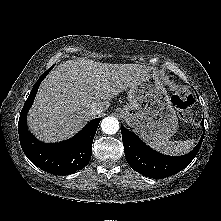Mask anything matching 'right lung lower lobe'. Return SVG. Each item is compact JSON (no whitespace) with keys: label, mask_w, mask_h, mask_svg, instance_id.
<instances>
[{"label":"right lung lower lobe","mask_w":221,"mask_h":221,"mask_svg":"<svg viewBox=\"0 0 221 221\" xmlns=\"http://www.w3.org/2000/svg\"><path fill=\"white\" fill-rule=\"evenodd\" d=\"M50 70L38 79L24 104L18 122L19 140L23 152L34 165L51 174L68 175L88 164L100 119L90 121L76 136L66 141L48 144L37 140L27 129L26 116L41 81Z\"/></svg>","instance_id":"right-lung-lower-lobe-1"}]
</instances>
